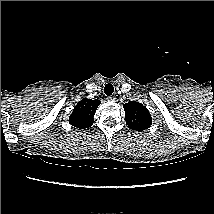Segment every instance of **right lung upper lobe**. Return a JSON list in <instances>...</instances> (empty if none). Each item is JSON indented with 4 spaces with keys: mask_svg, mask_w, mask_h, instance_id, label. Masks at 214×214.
Returning a JSON list of instances; mask_svg holds the SVG:
<instances>
[{
    "mask_svg": "<svg viewBox=\"0 0 214 214\" xmlns=\"http://www.w3.org/2000/svg\"><path fill=\"white\" fill-rule=\"evenodd\" d=\"M99 104L100 101L96 99L84 98L79 101L70 115V124L79 129L90 127L93 124L94 114Z\"/></svg>",
    "mask_w": 214,
    "mask_h": 214,
    "instance_id": "obj_1",
    "label": "right lung upper lobe"
}]
</instances>
